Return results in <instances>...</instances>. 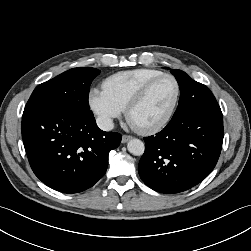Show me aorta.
Returning <instances> with one entry per match:
<instances>
[{"instance_id":"1","label":"aorta","mask_w":251,"mask_h":251,"mask_svg":"<svg viewBox=\"0 0 251 251\" xmlns=\"http://www.w3.org/2000/svg\"><path fill=\"white\" fill-rule=\"evenodd\" d=\"M127 148H128V151L135 156H141L145 150L144 143L141 140L136 139V138L131 139L127 143Z\"/></svg>"}]
</instances>
